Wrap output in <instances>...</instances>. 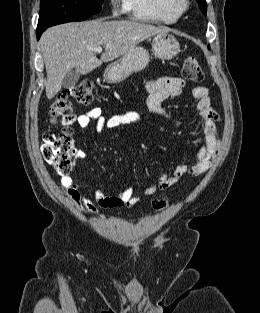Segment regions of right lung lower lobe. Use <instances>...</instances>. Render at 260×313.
I'll return each mask as SVG.
<instances>
[{
  "mask_svg": "<svg viewBox=\"0 0 260 313\" xmlns=\"http://www.w3.org/2000/svg\"><path fill=\"white\" fill-rule=\"evenodd\" d=\"M45 27H37L36 33H37V39L40 38L41 34L43 33V31H45Z\"/></svg>",
  "mask_w": 260,
  "mask_h": 313,
  "instance_id": "right-lung-lower-lobe-1",
  "label": "right lung lower lobe"
}]
</instances>
